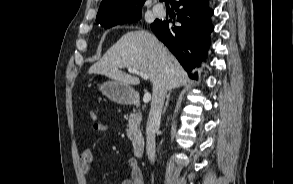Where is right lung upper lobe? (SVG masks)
Wrapping results in <instances>:
<instances>
[{
  "instance_id": "cb5924a9",
  "label": "right lung upper lobe",
  "mask_w": 293,
  "mask_h": 184,
  "mask_svg": "<svg viewBox=\"0 0 293 184\" xmlns=\"http://www.w3.org/2000/svg\"><path fill=\"white\" fill-rule=\"evenodd\" d=\"M146 0H102L96 22L103 25L141 13Z\"/></svg>"
}]
</instances>
